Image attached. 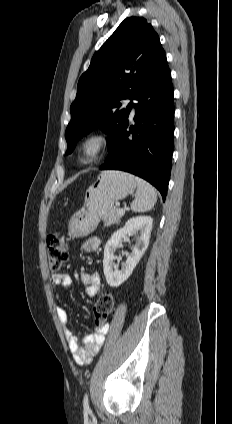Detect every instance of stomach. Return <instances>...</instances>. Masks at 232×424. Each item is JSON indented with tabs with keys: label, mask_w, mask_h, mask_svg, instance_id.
I'll use <instances>...</instances> for the list:
<instances>
[{
	"label": "stomach",
	"mask_w": 232,
	"mask_h": 424,
	"mask_svg": "<svg viewBox=\"0 0 232 424\" xmlns=\"http://www.w3.org/2000/svg\"><path fill=\"white\" fill-rule=\"evenodd\" d=\"M135 188V178L129 173L115 170L102 172L89 187L83 209L69 223L70 237H84L92 233L114 203L125 199Z\"/></svg>",
	"instance_id": "0dacf381"
}]
</instances>
